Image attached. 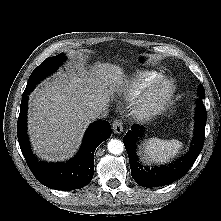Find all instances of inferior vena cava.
<instances>
[{
    "instance_id": "1",
    "label": "inferior vena cava",
    "mask_w": 221,
    "mask_h": 221,
    "mask_svg": "<svg viewBox=\"0 0 221 221\" xmlns=\"http://www.w3.org/2000/svg\"><path fill=\"white\" fill-rule=\"evenodd\" d=\"M108 115V107L106 105L94 107L93 110L90 112V119H102L106 118Z\"/></svg>"
}]
</instances>
